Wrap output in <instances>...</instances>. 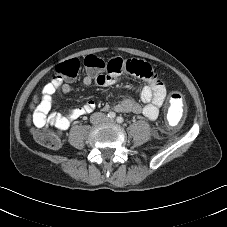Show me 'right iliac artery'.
Instances as JSON below:
<instances>
[{
  "label": "right iliac artery",
  "mask_w": 227,
  "mask_h": 227,
  "mask_svg": "<svg viewBox=\"0 0 227 227\" xmlns=\"http://www.w3.org/2000/svg\"><path fill=\"white\" fill-rule=\"evenodd\" d=\"M108 117H109L110 119H114V118L116 117V114H115L114 112H109V113H108Z\"/></svg>",
  "instance_id": "right-iliac-artery-1"
}]
</instances>
